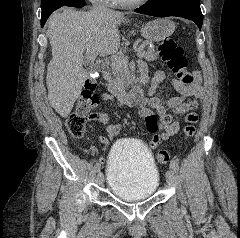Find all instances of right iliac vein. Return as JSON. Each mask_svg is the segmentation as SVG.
<instances>
[{
    "instance_id": "right-iliac-vein-1",
    "label": "right iliac vein",
    "mask_w": 240,
    "mask_h": 238,
    "mask_svg": "<svg viewBox=\"0 0 240 238\" xmlns=\"http://www.w3.org/2000/svg\"><path fill=\"white\" fill-rule=\"evenodd\" d=\"M97 183L99 185H103L104 184V175L100 171L97 173Z\"/></svg>"
}]
</instances>
